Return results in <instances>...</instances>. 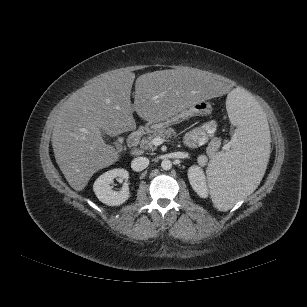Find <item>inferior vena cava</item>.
I'll return each mask as SVG.
<instances>
[{
  "mask_svg": "<svg viewBox=\"0 0 307 307\" xmlns=\"http://www.w3.org/2000/svg\"><path fill=\"white\" fill-rule=\"evenodd\" d=\"M149 165V159L146 157H136L133 159L132 163H131V168L136 171H142L144 169H146Z\"/></svg>",
  "mask_w": 307,
  "mask_h": 307,
  "instance_id": "obj_1",
  "label": "inferior vena cava"
}]
</instances>
